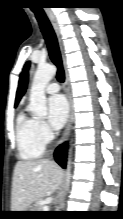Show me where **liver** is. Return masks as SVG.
Masks as SVG:
<instances>
[{
    "instance_id": "1",
    "label": "liver",
    "mask_w": 123,
    "mask_h": 219,
    "mask_svg": "<svg viewBox=\"0 0 123 219\" xmlns=\"http://www.w3.org/2000/svg\"><path fill=\"white\" fill-rule=\"evenodd\" d=\"M62 178V169L48 159L18 161L12 182V211H25L48 192H55Z\"/></svg>"
}]
</instances>
